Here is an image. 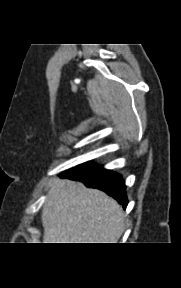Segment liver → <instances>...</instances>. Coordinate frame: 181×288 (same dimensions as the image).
Returning <instances> with one entry per match:
<instances>
[{
  "label": "liver",
  "mask_w": 181,
  "mask_h": 288,
  "mask_svg": "<svg viewBox=\"0 0 181 288\" xmlns=\"http://www.w3.org/2000/svg\"><path fill=\"white\" fill-rule=\"evenodd\" d=\"M42 210L44 243H117L122 207L104 192L67 179L49 184Z\"/></svg>",
  "instance_id": "6515ba94"
}]
</instances>
